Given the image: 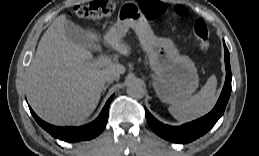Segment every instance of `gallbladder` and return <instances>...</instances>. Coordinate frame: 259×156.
<instances>
[{
	"label": "gallbladder",
	"instance_id": "1",
	"mask_svg": "<svg viewBox=\"0 0 259 156\" xmlns=\"http://www.w3.org/2000/svg\"><path fill=\"white\" fill-rule=\"evenodd\" d=\"M66 37L83 48L93 50L96 48L95 43L88 37L87 33L78 25L68 21L65 25Z\"/></svg>",
	"mask_w": 259,
	"mask_h": 156
}]
</instances>
